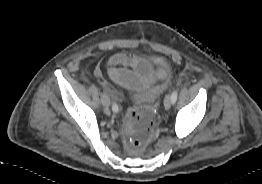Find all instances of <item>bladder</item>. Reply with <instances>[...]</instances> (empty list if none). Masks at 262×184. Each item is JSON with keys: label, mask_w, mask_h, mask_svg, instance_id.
<instances>
[{"label": "bladder", "mask_w": 262, "mask_h": 184, "mask_svg": "<svg viewBox=\"0 0 262 184\" xmlns=\"http://www.w3.org/2000/svg\"><path fill=\"white\" fill-rule=\"evenodd\" d=\"M161 92L160 85H154L144 91L134 92V99L141 103H147L156 98Z\"/></svg>", "instance_id": "31cf9c89"}]
</instances>
